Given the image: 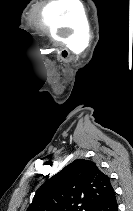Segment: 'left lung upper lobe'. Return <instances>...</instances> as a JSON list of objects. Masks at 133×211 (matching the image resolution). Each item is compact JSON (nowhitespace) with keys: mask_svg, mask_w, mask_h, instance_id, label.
<instances>
[{"mask_svg":"<svg viewBox=\"0 0 133 211\" xmlns=\"http://www.w3.org/2000/svg\"><path fill=\"white\" fill-rule=\"evenodd\" d=\"M113 189L94 162L78 159L48 179L27 211H92Z\"/></svg>","mask_w":133,"mask_h":211,"instance_id":"1","label":"left lung upper lobe"}]
</instances>
